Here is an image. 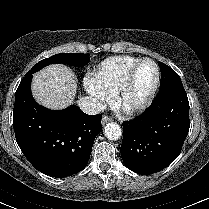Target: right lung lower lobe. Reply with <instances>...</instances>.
<instances>
[{"label":"right lung lower lobe","instance_id":"right-lung-lower-lobe-1","mask_svg":"<svg viewBox=\"0 0 209 209\" xmlns=\"http://www.w3.org/2000/svg\"><path fill=\"white\" fill-rule=\"evenodd\" d=\"M32 74L24 77L15 94L13 127L28 161L46 175L63 178L84 169L101 114L87 115L78 106L52 111L38 105L31 94Z\"/></svg>","mask_w":209,"mask_h":209}]
</instances>
